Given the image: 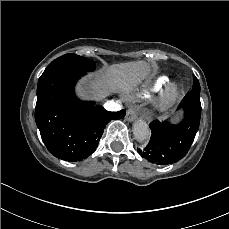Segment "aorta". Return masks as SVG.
I'll use <instances>...</instances> for the list:
<instances>
[{
    "instance_id": "aorta-1",
    "label": "aorta",
    "mask_w": 229,
    "mask_h": 229,
    "mask_svg": "<svg viewBox=\"0 0 229 229\" xmlns=\"http://www.w3.org/2000/svg\"><path fill=\"white\" fill-rule=\"evenodd\" d=\"M133 134L137 141L145 142L150 137V129L146 122L138 120L133 125Z\"/></svg>"
}]
</instances>
